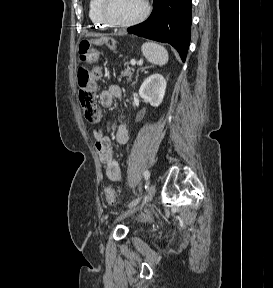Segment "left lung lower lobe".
<instances>
[{"instance_id": "1", "label": "left lung lower lobe", "mask_w": 273, "mask_h": 288, "mask_svg": "<svg viewBox=\"0 0 273 288\" xmlns=\"http://www.w3.org/2000/svg\"><path fill=\"white\" fill-rule=\"evenodd\" d=\"M191 3L192 0H154L149 18L127 31L171 44L185 61L191 34Z\"/></svg>"}]
</instances>
